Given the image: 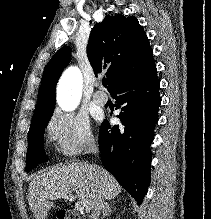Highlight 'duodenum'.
<instances>
[{"label": "duodenum", "mask_w": 211, "mask_h": 219, "mask_svg": "<svg viewBox=\"0 0 211 219\" xmlns=\"http://www.w3.org/2000/svg\"><path fill=\"white\" fill-rule=\"evenodd\" d=\"M68 214L67 219H80L75 213L73 212H66Z\"/></svg>", "instance_id": "410a0bca"}]
</instances>
